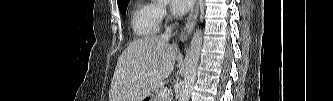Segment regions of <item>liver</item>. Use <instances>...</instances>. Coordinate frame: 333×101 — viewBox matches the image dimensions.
I'll return each instance as SVG.
<instances>
[{
  "label": "liver",
  "mask_w": 333,
  "mask_h": 101,
  "mask_svg": "<svg viewBox=\"0 0 333 101\" xmlns=\"http://www.w3.org/2000/svg\"><path fill=\"white\" fill-rule=\"evenodd\" d=\"M178 49L161 36L134 40L120 55L109 101H143L173 71Z\"/></svg>",
  "instance_id": "6515ba94"
}]
</instances>
